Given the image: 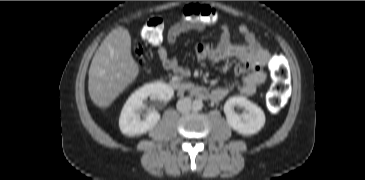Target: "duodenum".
I'll use <instances>...</instances> for the list:
<instances>
[{"instance_id":"obj_1","label":"duodenum","mask_w":365,"mask_h":180,"mask_svg":"<svg viewBox=\"0 0 365 180\" xmlns=\"http://www.w3.org/2000/svg\"><path fill=\"white\" fill-rule=\"evenodd\" d=\"M170 86L179 94L183 93H191L195 96H198L200 98L207 99L209 98L210 94L203 88L199 86H195L192 84H188L179 80L172 81L170 83Z\"/></svg>"}]
</instances>
